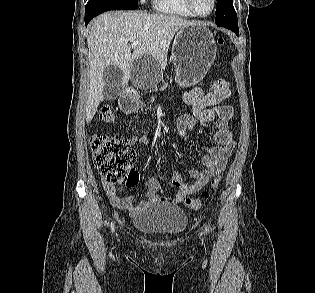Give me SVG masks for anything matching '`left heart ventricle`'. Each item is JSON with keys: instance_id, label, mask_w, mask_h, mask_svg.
<instances>
[{"instance_id": "b2bd125f", "label": "left heart ventricle", "mask_w": 315, "mask_h": 293, "mask_svg": "<svg viewBox=\"0 0 315 293\" xmlns=\"http://www.w3.org/2000/svg\"><path fill=\"white\" fill-rule=\"evenodd\" d=\"M197 11L201 14H207L212 9V0H194Z\"/></svg>"}]
</instances>
